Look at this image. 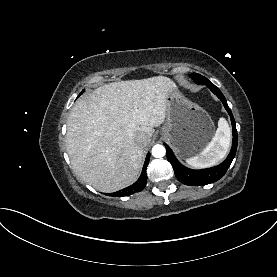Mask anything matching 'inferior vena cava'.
Segmentation results:
<instances>
[{"label": "inferior vena cava", "mask_w": 277, "mask_h": 277, "mask_svg": "<svg viewBox=\"0 0 277 277\" xmlns=\"http://www.w3.org/2000/svg\"><path fill=\"white\" fill-rule=\"evenodd\" d=\"M135 141L141 145V146H144L148 143V137L145 133L143 132H140L138 134H136L135 136Z\"/></svg>", "instance_id": "inferior-vena-cava-1"}]
</instances>
